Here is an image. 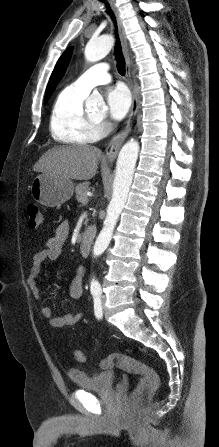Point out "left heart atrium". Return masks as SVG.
<instances>
[{"label":"left heart atrium","mask_w":219,"mask_h":447,"mask_svg":"<svg viewBox=\"0 0 219 447\" xmlns=\"http://www.w3.org/2000/svg\"><path fill=\"white\" fill-rule=\"evenodd\" d=\"M109 116L112 119L124 118L131 107V96L123 86H117L108 91L106 96Z\"/></svg>","instance_id":"obj_1"}]
</instances>
